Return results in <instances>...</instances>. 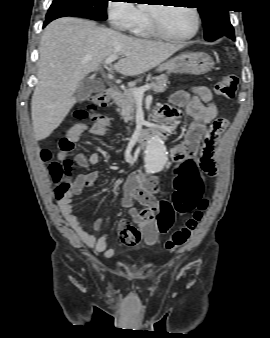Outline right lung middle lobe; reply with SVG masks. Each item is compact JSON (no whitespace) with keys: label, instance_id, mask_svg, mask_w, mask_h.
<instances>
[{"label":"right lung middle lobe","instance_id":"dd1d6c3e","mask_svg":"<svg viewBox=\"0 0 270 338\" xmlns=\"http://www.w3.org/2000/svg\"><path fill=\"white\" fill-rule=\"evenodd\" d=\"M109 0H53L46 19L65 16L83 17L103 21L107 19L106 7Z\"/></svg>","mask_w":270,"mask_h":338}]
</instances>
